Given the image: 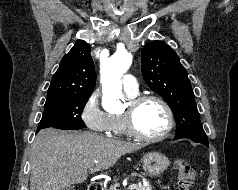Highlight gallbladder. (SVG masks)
<instances>
[{
  "label": "gallbladder",
  "instance_id": "bac80fb5",
  "mask_svg": "<svg viewBox=\"0 0 238 190\" xmlns=\"http://www.w3.org/2000/svg\"><path fill=\"white\" fill-rule=\"evenodd\" d=\"M62 190H75L73 186H65Z\"/></svg>",
  "mask_w": 238,
  "mask_h": 190
}]
</instances>
